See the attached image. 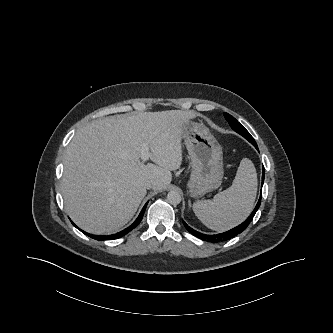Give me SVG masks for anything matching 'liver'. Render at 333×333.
<instances>
[{
  "instance_id": "6515ba94",
  "label": "liver",
  "mask_w": 333,
  "mask_h": 333,
  "mask_svg": "<svg viewBox=\"0 0 333 333\" xmlns=\"http://www.w3.org/2000/svg\"><path fill=\"white\" fill-rule=\"evenodd\" d=\"M195 114L181 110L100 118L78 130L64 157L62 195L72 220L92 234L118 231L145 197L146 182L166 188L182 164L184 126ZM146 144L152 163L141 161Z\"/></svg>"
}]
</instances>
